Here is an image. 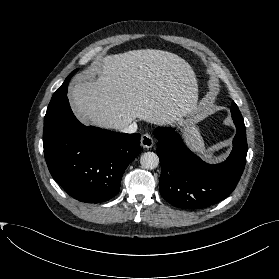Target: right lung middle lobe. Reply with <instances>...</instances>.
<instances>
[{"label": "right lung middle lobe", "mask_w": 279, "mask_h": 279, "mask_svg": "<svg viewBox=\"0 0 279 279\" xmlns=\"http://www.w3.org/2000/svg\"><path fill=\"white\" fill-rule=\"evenodd\" d=\"M76 71H77V69L74 70L73 72H71L70 75L64 81V83L61 85V87L56 90V92L52 96V99L49 103L47 110H50L53 107H55L56 105H58L60 103V101L64 98V96L67 94V85L69 83L70 78L73 76V74Z\"/></svg>", "instance_id": "obj_1"}]
</instances>
